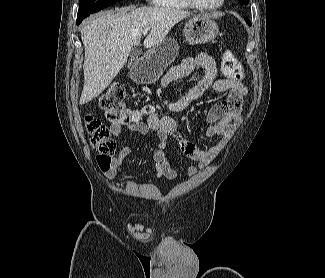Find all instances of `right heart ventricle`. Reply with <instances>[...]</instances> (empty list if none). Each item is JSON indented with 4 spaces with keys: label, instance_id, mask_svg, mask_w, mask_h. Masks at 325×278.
I'll list each match as a JSON object with an SVG mask.
<instances>
[{
    "label": "right heart ventricle",
    "instance_id": "right-heart-ventricle-1",
    "mask_svg": "<svg viewBox=\"0 0 325 278\" xmlns=\"http://www.w3.org/2000/svg\"><path fill=\"white\" fill-rule=\"evenodd\" d=\"M152 3L159 7L172 9H191L192 6L187 0H151Z\"/></svg>",
    "mask_w": 325,
    "mask_h": 278
}]
</instances>
